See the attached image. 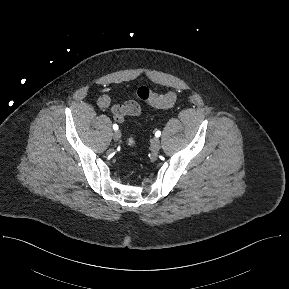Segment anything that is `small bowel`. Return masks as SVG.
I'll return each instance as SVG.
<instances>
[{
	"mask_svg": "<svg viewBox=\"0 0 289 289\" xmlns=\"http://www.w3.org/2000/svg\"><path fill=\"white\" fill-rule=\"evenodd\" d=\"M97 105L101 109L110 108L114 120L119 123H124L126 116L138 117L141 114V107L135 100L117 103L108 93H103L98 97Z\"/></svg>",
	"mask_w": 289,
	"mask_h": 289,
	"instance_id": "obj_1",
	"label": "small bowel"
}]
</instances>
